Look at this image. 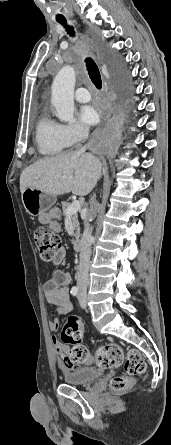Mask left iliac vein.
Returning a JSON list of instances; mask_svg holds the SVG:
<instances>
[{"label":"left iliac vein","mask_w":171,"mask_h":445,"mask_svg":"<svg viewBox=\"0 0 171 445\" xmlns=\"http://www.w3.org/2000/svg\"><path fill=\"white\" fill-rule=\"evenodd\" d=\"M78 299H79V303L82 309H86L87 307V300L82 296V294L80 293L78 295Z\"/></svg>","instance_id":"obj_1"}]
</instances>
